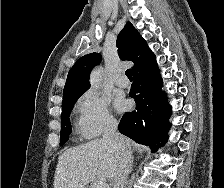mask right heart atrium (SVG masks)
Listing matches in <instances>:
<instances>
[{"mask_svg":"<svg viewBox=\"0 0 224 188\" xmlns=\"http://www.w3.org/2000/svg\"><path fill=\"white\" fill-rule=\"evenodd\" d=\"M79 125L89 138H98L112 131L117 120L110 109V100L94 89L84 92L77 102Z\"/></svg>","mask_w":224,"mask_h":188,"instance_id":"1","label":"right heart atrium"}]
</instances>
